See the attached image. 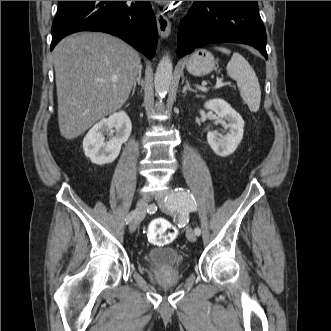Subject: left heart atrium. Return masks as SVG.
<instances>
[{
    "label": "left heart atrium",
    "mask_w": 331,
    "mask_h": 331,
    "mask_svg": "<svg viewBox=\"0 0 331 331\" xmlns=\"http://www.w3.org/2000/svg\"><path fill=\"white\" fill-rule=\"evenodd\" d=\"M158 2H167V1H158Z\"/></svg>",
    "instance_id": "39dd6f15"
}]
</instances>
